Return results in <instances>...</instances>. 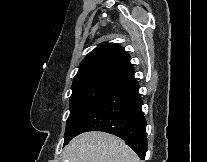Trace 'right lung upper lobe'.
Returning <instances> with one entry per match:
<instances>
[{"instance_id": "right-lung-upper-lobe-1", "label": "right lung upper lobe", "mask_w": 207, "mask_h": 162, "mask_svg": "<svg viewBox=\"0 0 207 162\" xmlns=\"http://www.w3.org/2000/svg\"><path fill=\"white\" fill-rule=\"evenodd\" d=\"M134 77L130 56L115 43H102L81 62L72 89L89 86L118 87Z\"/></svg>"}]
</instances>
